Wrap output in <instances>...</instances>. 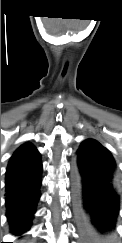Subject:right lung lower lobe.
Returning <instances> with one entry per match:
<instances>
[{
    "instance_id": "obj_1",
    "label": "right lung lower lobe",
    "mask_w": 122,
    "mask_h": 243,
    "mask_svg": "<svg viewBox=\"0 0 122 243\" xmlns=\"http://www.w3.org/2000/svg\"><path fill=\"white\" fill-rule=\"evenodd\" d=\"M42 165L23 171L5 183L6 215L11 232L21 235L32 225L40 197Z\"/></svg>"
}]
</instances>
